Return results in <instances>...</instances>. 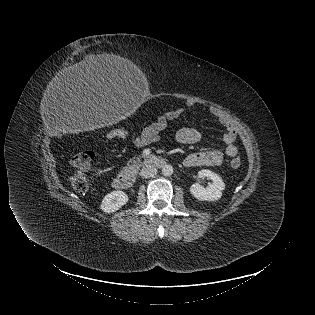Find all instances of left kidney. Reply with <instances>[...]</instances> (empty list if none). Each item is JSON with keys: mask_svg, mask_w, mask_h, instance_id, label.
Instances as JSON below:
<instances>
[{"mask_svg": "<svg viewBox=\"0 0 315 315\" xmlns=\"http://www.w3.org/2000/svg\"><path fill=\"white\" fill-rule=\"evenodd\" d=\"M198 177L211 179L212 183L206 188L199 183L192 184L190 192L196 199L200 201H216L221 198L222 191L225 189V183L218 174L203 169L198 172Z\"/></svg>", "mask_w": 315, "mask_h": 315, "instance_id": "left-kidney-1", "label": "left kidney"}]
</instances>
